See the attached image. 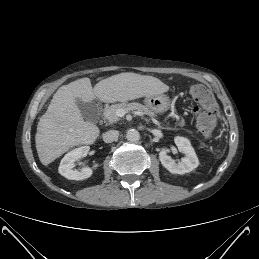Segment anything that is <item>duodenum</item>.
<instances>
[{"instance_id":"410a0bca","label":"duodenum","mask_w":259,"mask_h":259,"mask_svg":"<svg viewBox=\"0 0 259 259\" xmlns=\"http://www.w3.org/2000/svg\"><path fill=\"white\" fill-rule=\"evenodd\" d=\"M102 110H103V105L100 106V111H102Z\"/></svg>"}]
</instances>
